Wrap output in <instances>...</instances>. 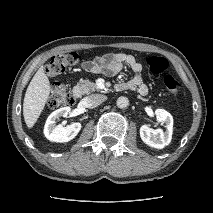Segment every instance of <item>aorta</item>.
<instances>
[{
  "instance_id": "762f6f07",
  "label": "aorta",
  "mask_w": 213,
  "mask_h": 213,
  "mask_svg": "<svg viewBox=\"0 0 213 213\" xmlns=\"http://www.w3.org/2000/svg\"><path fill=\"white\" fill-rule=\"evenodd\" d=\"M116 104H117L118 108L123 109V108H126L129 105V100H128L127 97L121 96L117 99Z\"/></svg>"
}]
</instances>
